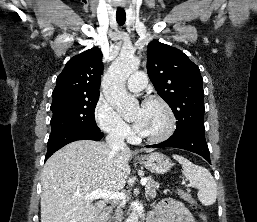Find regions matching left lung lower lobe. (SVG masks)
<instances>
[{"label":"left lung lower lobe","mask_w":257,"mask_h":222,"mask_svg":"<svg viewBox=\"0 0 257 222\" xmlns=\"http://www.w3.org/2000/svg\"><path fill=\"white\" fill-rule=\"evenodd\" d=\"M146 147L153 148H164V147H173L185 149L194 153L199 154L203 158H205L209 163L210 161V153L208 149V145L205 140V131L204 130H188L185 132L173 134L166 141L155 144L148 145Z\"/></svg>","instance_id":"obj_1"}]
</instances>
